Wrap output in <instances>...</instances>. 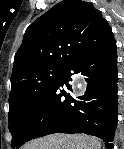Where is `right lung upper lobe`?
Segmentation results:
<instances>
[{
	"mask_svg": "<svg viewBox=\"0 0 124 149\" xmlns=\"http://www.w3.org/2000/svg\"><path fill=\"white\" fill-rule=\"evenodd\" d=\"M111 39V27L90 2L63 0L27 28L14 57L11 87L37 69L64 68Z\"/></svg>",
	"mask_w": 124,
	"mask_h": 149,
	"instance_id": "1",
	"label": "right lung upper lobe"
}]
</instances>
